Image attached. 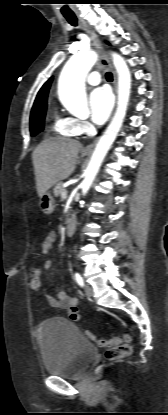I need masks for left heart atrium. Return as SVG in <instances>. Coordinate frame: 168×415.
<instances>
[{
    "mask_svg": "<svg viewBox=\"0 0 168 415\" xmlns=\"http://www.w3.org/2000/svg\"><path fill=\"white\" fill-rule=\"evenodd\" d=\"M91 120L98 125L109 117L113 107V97L105 87L95 89L89 98Z\"/></svg>",
    "mask_w": 168,
    "mask_h": 415,
    "instance_id": "39dd6f15",
    "label": "left heart atrium"
}]
</instances>
